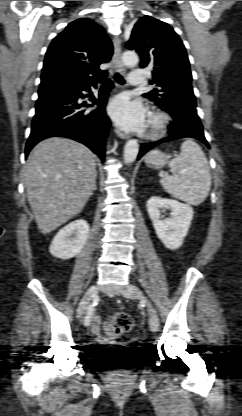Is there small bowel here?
Returning a JSON list of instances; mask_svg holds the SVG:
<instances>
[{"mask_svg": "<svg viewBox=\"0 0 242 416\" xmlns=\"http://www.w3.org/2000/svg\"><path fill=\"white\" fill-rule=\"evenodd\" d=\"M92 320V332L94 335H98L99 334V324H100V320L98 318V316L93 315L91 317Z\"/></svg>", "mask_w": 242, "mask_h": 416, "instance_id": "small-bowel-1", "label": "small bowel"}]
</instances>
